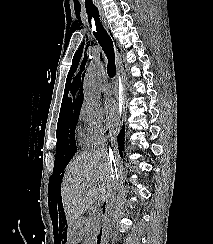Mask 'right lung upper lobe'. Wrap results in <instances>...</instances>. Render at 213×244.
Returning a JSON list of instances; mask_svg holds the SVG:
<instances>
[{"label": "right lung upper lobe", "instance_id": "obj_1", "mask_svg": "<svg viewBox=\"0 0 213 244\" xmlns=\"http://www.w3.org/2000/svg\"><path fill=\"white\" fill-rule=\"evenodd\" d=\"M80 60V58H79ZM79 60H77L75 67L72 66L69 74H68V81L73 77L74 73L76 72L79 64ZM85 62L86 60H83L80 65L81 72L85 69ZM81 83V73H78V76H75L73 78V82L70 83V85L67 82V88L65 87L64 96L61 104L60 113L81 108L82 102H83V90Z\"/></svg>", "mask_w": 213, "mask_h": 244}]
</instances>
